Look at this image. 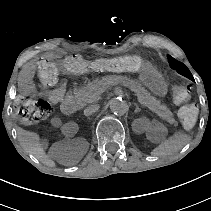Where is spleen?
I'll return each instance as SVG.
<instances>
[{
  "instance_id": "spleen-1",
  "label": "spleen",
  "mask_w": 211,
  "mask_h": 211,
  "mask_svg": "<svg viewBox=\"0 0 211 211\" xmlns=\"http://www.w3.org/2000/svg\"><path fill=\"white\" fill-rule=\"evenodd\" d=\"M191 140L192 136L183 132H176L156 146L150 154L156 157L170 156L181 150L185 145L190 143Z\"/></svg>"
}]
</instances>
